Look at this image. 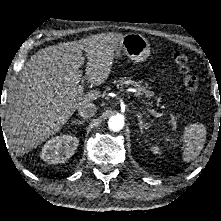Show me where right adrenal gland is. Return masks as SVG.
Listing matches in <instances>:
<instances>
[{
  "instance_id": "1",
  "label": "right adrenal gland",
  "mask_w": 221,
  "mask_h": 221,
  "mask_svg": "<svg viewBox=\"0 0 221 221\" xmlns=\"http://www.w3.org/2000/svg\"><path fill=\"white\" fill-rule=\"evenodd\" d=\"M85 122H86L85 120H76V121H73L72 124L82 125V124H84Z\"/></svg>"
}]
</instances>
